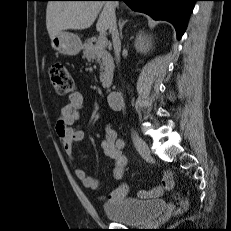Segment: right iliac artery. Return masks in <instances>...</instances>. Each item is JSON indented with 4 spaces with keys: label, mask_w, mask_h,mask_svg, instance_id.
<instances>
[{
    "label": "right iliac artery",
    "mask_w": 231,
    "mask_h": 231,
    "mask_svg": "<svg viewBox=\"0 0 231 231\" xmlns=\"http://www.w3.org/2000/svg\"><path fill=\"white\" fill-rule=\"evenodd\" d=\"M124 146H125L124 141H123V140H119V147H120L121 149H123Z\"/></svg>",
    "instance_id": "1"
}]
</instances>
